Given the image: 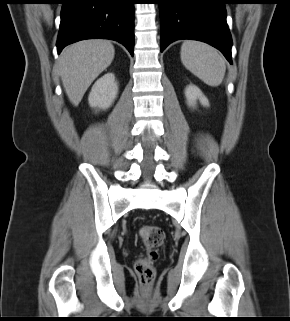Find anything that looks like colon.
<instances>
[{"instance_id":"colon-1","label":"colon","mask_w":290,"mask_h":321,"mask_svg":"<svg viewBox=\"0 0 290 321\" xmlns=\"http://www.w3.org/2000/svg\"><path fill=\"white\" fill-rule=\"evenodd\" d=\"M140 237L147 248V254L135 264V271L144 286H149L155 277L154 262L158 258L157 249L163 244L165 234L158 226L146 225L139 230Z\"/></svg>"}]
</instances>
